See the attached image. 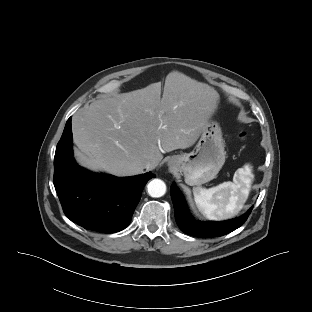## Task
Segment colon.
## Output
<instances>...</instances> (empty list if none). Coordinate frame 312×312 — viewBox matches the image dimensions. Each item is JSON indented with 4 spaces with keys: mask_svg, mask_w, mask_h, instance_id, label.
<instances>
[{
    "mask_svg": "<svg viewBox=\"0 0 312 312\" xmlns=\"http://www.w3.org/2000/svg\"><path fill=\"white\" fill-rule=\"evenodd\" d=\"M240 139H245L246 138V133L245 132H241L239 134Z\"/></svg>",
    "mask_w": 312,
    "mask_h": 312,
    "instance_id": "5ec220e1",
    "label": "colon"
}]
</instances>
